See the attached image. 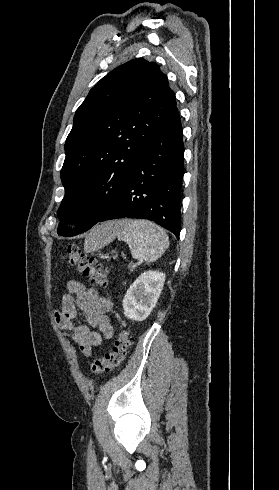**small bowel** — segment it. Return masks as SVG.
Masks as SVG:
<instances>
[{"label":"small bowel","instance_id":"1","mask_svg":"<svg viewBox=\"0 0 279 490\" xmlns=\"http://www.w3.org/2000/svg\"><path fill=\"white\" fill-rule=\"evenodd\" d=\"M66 287L68 293L62 295L61 310L55 311L54 320L63 335L75 342L85 356H89L93 347L113 336V326L108 317L112 302L97 289H88L74 280L68 281ZM78 309L86 324L73 323Z\"/></svg>","mask_w":279,"mask_h":490}]
</instances>
